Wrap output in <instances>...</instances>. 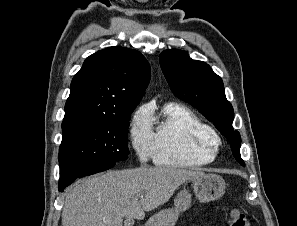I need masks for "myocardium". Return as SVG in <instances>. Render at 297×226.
<instances>
[{"instance_id": "obj_1", "label": "myocardium", "mask_w": 297, "mask_h": 226, "mask_svg": "<svg viewBox=\"0 0 297 226\" xmlns=\"http://www.w3.org/2000/svg\"><path fill=\"white\" fill-rule=\"evenodd\" d=\"M207 145L212 147L213 149H216L218 146V140L217 139H211L207 142Z\"/></svg>"}]
</instances>
